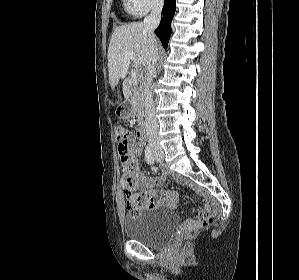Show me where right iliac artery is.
Returning <instances> with one entry per match:
<instances>
[{
  "instance_id": "82829eb1",
  "label": "right iliac artery",
  "mask_w": 299,
  "mask_h": 280,
  "mask_svg": "<svg viewBox=\"0 0 299 280\" xmlns=\"http://www.w3.org/2000/svg\"><path fill=\"white\" fill-rule=\"evenodd\" d=\"M145 160L148 164L154 163V155L150 146H147L145 149Z\"/></svg>"
}]
</instances>
